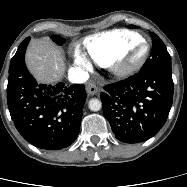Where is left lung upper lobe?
Segmentation results:
<instances>
[{
    "label": "left lung upper lobe",
    "mask_w": 187,
    "mask_h": 187,
    "mask_svg": "<svg viewBox=\"0 0 187 187\" xmlns=\"http://www.w3.org/2000/svg\"><path fill=\"white\" fill-rule=\"evenodd\" d=\"M151 37L153 41L151 56L145 62L141 70L171 67V57L166 49L165 44L155 33H151Z\"/></svg>",
    "instance_id": "5c2ea615"
}]
</instances>
